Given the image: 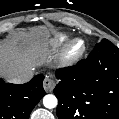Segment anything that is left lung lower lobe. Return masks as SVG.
Returning a JSON list of instances; mask_svg holds the SVG:
<instances>
[{
	"instance_id": "left-lung-lower-lobe-1",
	"label": "left lung lower lobe",
	"mask_w": 119,
	"mask_h": 119,
	"mask_svg": "<svg viewBox=\"0 0 119 119\" xmlns=\"http://www.w3.org/2000/svg\"><path fill=\"white\" fill-rule=\"evenodd\" d=\"M56 77L59 119H119V48L109 40L75 66L58 69Z\"/></svg>"
}]
</instances>
